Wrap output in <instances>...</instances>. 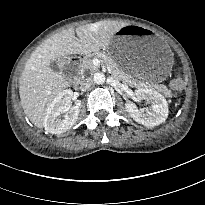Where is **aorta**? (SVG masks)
<instances>
[{"instance_id":"1","label":"aorta","mask_w":205,"mask_h":205,"mask_svg":"<svg viewBox=\"0 0 205 205\" xmlns=\"http://www.w3.org/2000/svg\"><path fill=\"white\" fill-rule=\"evenodd\" d=\"M93 79L96 84H103L105 82V75L101 72H97L94 74Z\"/></svg>"}]
</instances>
